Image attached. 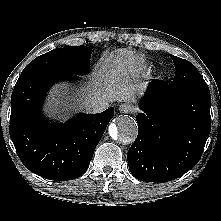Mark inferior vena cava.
I'll list each match as a JSON object with an SVG mask.
<instances>
[{"label": "inferior vena cava", "mask_w": 221, "mask_h": 221, "mask_svg": "<svg viewBox=\"0 0 221 221\" xmlns=\"http://www.w3.org/2000/svg\"><path fill=\"white\" fill-rule=\"evenodd\" d=\"M109 106V101L105 99L97 100L92 102L88 108L90 113H100L107 109Z\"/></svg>", "instance_id": "inferior-vena-cava-1"}]
</instances>
